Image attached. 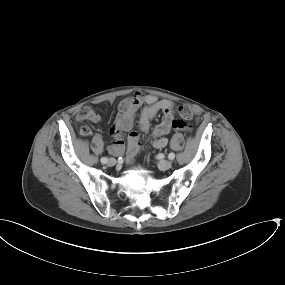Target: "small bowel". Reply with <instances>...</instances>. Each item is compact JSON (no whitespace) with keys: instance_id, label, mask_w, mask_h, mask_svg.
Returning <instances> with one entry per match:
<instances>
[{"instance_id":"1","label":"small bowel","mask_w":285,"mask_h":285,"mask_svg":"<svg viewBox=\"0 0 285 285\" xmlns=\"http://www.w3.org/2000/svg\"><path fill=\"white\" fill-rule=\"evenodd\" d=\"M144 105L139 117V127L144 133L150 130V123L157 113L162 112V120L155 126L152 131L153 145L156 148H164L168 144L165 137L171 130H184L186 125L173 117L175 103L170 99L159 100L155 95L142 94L137 92L132 96L122 99L118 105V112L111 126V133L114 138L113 144L109 146V151L114 154H121L124 150L123 136L125 132H129L127 136L126 160L131 163L138 152L141 150L139 136L136 132L131 131L137 110ZM75 119L79 123L86 121L92 123H100L101 116L90 106L81 108ZM80 132L83 136L91 135L92 131L88 125H82Z\"/></svg>"}]
</instances>
